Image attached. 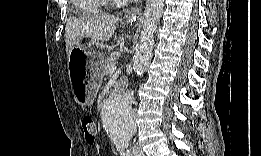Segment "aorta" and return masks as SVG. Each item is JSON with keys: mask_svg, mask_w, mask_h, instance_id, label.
<instances>
[{"mask_svg": "<svg viewBox=\"0 0 261 156\" xmlns=\"http://www.w3.org/2000/svg\"><path fill=\"white\" fill-rule=\"evenodd\" d=\"M164 0H147L145 19L136 53L133 69L141 76L148 68L154 48V35L162 15ZM133 93L127 92L109 97L102 107V124L113 141L128 143L136 132V119L132 108Z\"/></svg>", "mask_w": 261, "mask_h": 156, "instance_id": "obj_1", "label": "aorta"}]
</instances>
